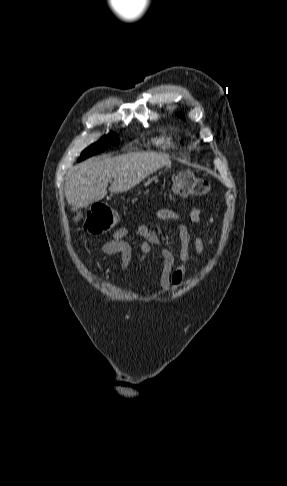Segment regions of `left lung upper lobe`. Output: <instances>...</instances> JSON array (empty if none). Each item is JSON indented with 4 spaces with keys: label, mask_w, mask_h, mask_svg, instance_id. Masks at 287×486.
Wrapping results in <instances>:
<instances>
[{
    "label": "left lung upper lobe",
    "mask_w": 287,
    "mask_h": 486,
    "mask_svg": "<svg viewBox=\"0 0 287 486\" xmlns=\"http://www.w3.org/2000/svg\"><path fill=\"white\" fill-rule=\"evenodd\" d=\"M177 116L184 119V116L181 113H177Z\"/></svg>",
    "instance_id": "left-lung-upper-lobe-1"
}]
</instances>
